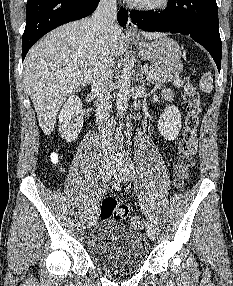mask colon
Returning <instances> with one entry per match:
<instances>
[{
    "instance_id": "colon-1",
    "label": "colon",
    "mask_w": 233,
    "mask_h": 286,
    "mask_svg": "<svg viewBox=\"0 0 233 286\" xmlns=\"http://www.w3.org/2000/svg\"><path fill=\"white\" fill-rule=\"evenodd\" d=\"M183 100L186 117L184 131L178 145V165L174 171L175 186L177 188L184 186L195 163L194 155L197 149V135L202 112L200 95L196 87L189 81L186 82L184 87ZM100 215L103 219L115 218L128 221L134 229H141L144 225L140 217L132 216L126 206L120 205L113 198H107L102 202Z\"/></svg>"
}]
</instances>
